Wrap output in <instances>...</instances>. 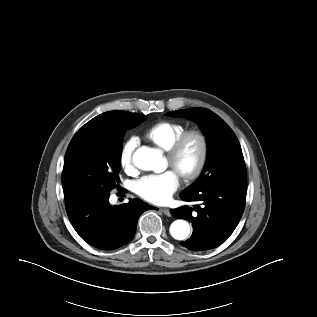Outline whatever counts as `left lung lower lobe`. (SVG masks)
<instances>
[{
  "label": "left lung lower lobe",
  "instance_id": "obj_1",
  "mask_svg": "<svg viewBox=\"0 0 317 317\" xmlns=\"http://www.w3.org/2000/svg\"><path fill=\"white\" fill-rule=\"evenodd\" d=\"M247 182H219L198 192L181 193L183 201H194V208L171 210L175 218L192 222V236L181 244L193 251L214 249L224 243L238 225L246 202ZM196 211L195 215L192 211Z\"/></svg>",
  "mask_w": 317,
  "mask_h": 317
}]
</instances>
